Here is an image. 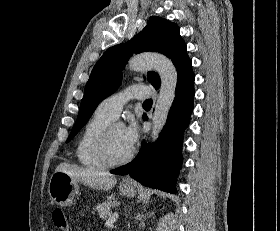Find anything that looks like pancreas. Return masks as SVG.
Listing matches in <instances>:
<instances>
[{
    "mask_svg": "<svg viewBox=\"0 0 280 231\" xmlns=\"http://www.w3.org/2000/svg\"><path fill=\"white\" fill-rule=\"evenodd\" d=\"M117 205H119V201H102V203H98L96 209L99 217L106 219V217H108L111 213V207H117Z\"/></svg>",
    "mask_w": 280,
    "mask_h": 231,
    "instance_id": "obj_1",
    "label": "pancreas"
}]
</instances>
